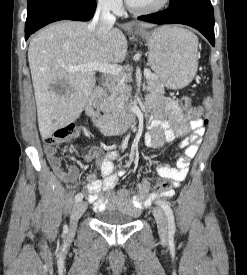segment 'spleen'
Here are the masks:
<instances>
[{
    "label": "spleen",
    "mask_w": 247,
    "mask_h": 275,
    "mask_svg": "<svg viewBox=\"0 0 247 275\" xmlns=\"http://www.w3.org/2000/svg\"><path fill=\"white\" fill-rule=\"evenodd\" d=\"M191 38H192V40H193V42H194V45H195V47H196V49H197V47H198L197 38H195V37L193 36V34H192Z\"/></svg>",
    "instance_id": "3e777b00"
}]
</instances>
